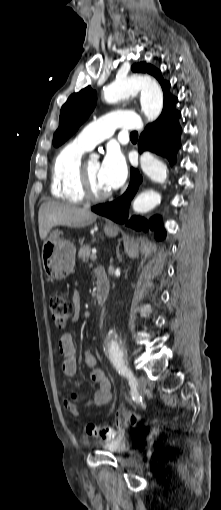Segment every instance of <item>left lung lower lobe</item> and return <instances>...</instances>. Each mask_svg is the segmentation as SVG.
Returning <instances> with one entry per match:
<instances>
[{
  "mask_svg": "<svg viewBox=\"0 0 221 510\" xmlns=\"http://www.w3.org/2000/svg\"><path fill=\"white\" fill-rule=\"evenodd\" d=\"M180 117L181 113L179 111L171 109L160 115L154 123L149 124L140 137L139 152L149 150L166 157L171 165L175 163L177 151L181 147L180 135L182 129L179 124ZM141 182L142 177L139 172L131 168L130 184L126 192L113 202L92 207V211L117 223H125L131 200ZM126 225L143 231H147L149 225L150 229L155 230V238L157 240L164 239L166 235L161 225V218L157 215L150 218L149 222L142 217L133 216Z\"/></svg>",
  "mask_w": 221,
  "mask_h": 510,
  "instance_id": "0a47b994",
  "label": "left lung lower lobe"
}]
</instances>
